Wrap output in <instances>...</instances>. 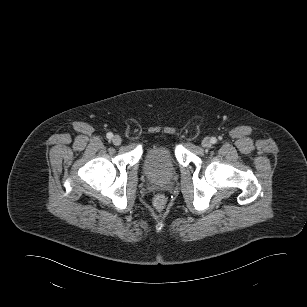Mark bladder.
Wrapping results in <instances>:
<instances>
[{
	"label": "bladder",
	"instance_id": "31cf9c89",
	"mask_svg": "<svg viewBox=\"0 0 307 307\" xmlns=\"http://www.w3.org/2000/svg\"><path fill=\"white\" fill-rule=\"evenodd\" d=\"M143 169L149 179L155 181L171 179L176 171L173 150L165 145L150 148L146 153Z\"/></svg>",
	"mask_w": 307,
	"mask_h": 307
}]
</instances>
